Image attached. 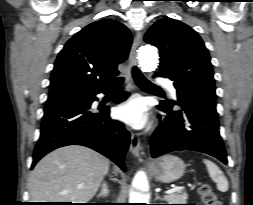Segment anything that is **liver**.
<instances>
[{
    "label": "liver",
    "mask_w": 253,
    "mask_h": 205,
    "mask_svg": "<svg viewBox=\"0 0 253 205\" xmlns=\"http://www.w3.org/2000/svg\"><path fill=\"white\" fill-rule=\"evenodd\" d=\"M109 170V160L84 146L58 148L32 170L28 190L32 202L87 203Z\"/></svg>",
    "instance_id": "1"
}]
</instances>
